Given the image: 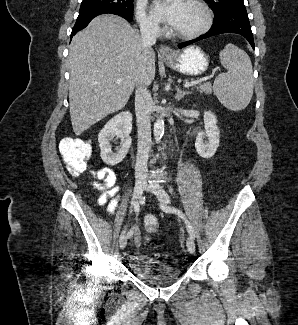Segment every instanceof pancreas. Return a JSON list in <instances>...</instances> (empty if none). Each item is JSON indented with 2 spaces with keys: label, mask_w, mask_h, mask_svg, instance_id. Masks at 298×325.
Listing matches in <instances>:
<instances>
[{
  "label": "pancreas",
  "mask_w": 298,
  "mask_h": 325,
  "mask_svg": "<svg viewBox=\"0 0 298 325\" xmlns=\"http://www.w3.org/2000/svg\"><path fill=\"white\" fill-rule=\"evenodd\" d=\"M194 88H197L198 92H205V94H212V82H198L194 84Z\"/></svg>",
  "instance_id": "pancreas-1"
}]
</instances>
